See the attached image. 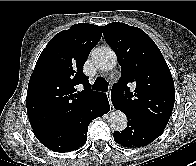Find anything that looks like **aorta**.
Segmentation results:
<instances>
[{"label":"aorta","mask_w":196,"mask_h":166,"mask_svg":"<svg viewBox=\"0 0 196 166\" xmlns=\"http://www.w3.org/2000/svg\"><path fill=\"white\" fill-rule=\"evenodd\" d=\"M94 65L101 70H112L117 65V56L110 47L96 48L92 53ZM108 122L115 131H122L127 126V117L120 110H114L109 114Z\"/></svg>","instance_id":"762f6f07"}]
</instances>
